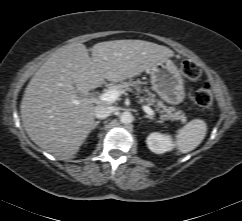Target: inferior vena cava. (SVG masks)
Instances as JSON below:
<instances>
[{
    "label": "inferior vena cava",
    "mask_w": 242,
    "mask_h": 221,
    "mask_svg": "<svg viewBox=\"0 0 242 221\" xmlns=\"http://www.w3.org/2000/svg\"><path fill=\"white\" fill-rule=\"evenodd\" d=\"M113 111V107L105 105H98L94 108L95 117L101 120L110 116Z\"/></svg>",
    "instance_id": "obj_1"
}]
</instances>
